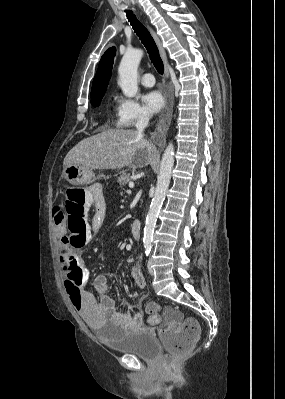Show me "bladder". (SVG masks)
Segmentation results:
<instances>
[{
  "label": "bladder",
  "instance_id": "obj_1",
  "mask_svg": "<svg viewBox=\"0 0 285 399\" xmlns=\"http://www.w3.org/2000/svg\"><path fill=\"white\" fill-rule=\"evenodd\" d=\"M91 328L98 334L107 335L98 325H91ZM104 343L116 352L133 355L144 360H155L159 356L158 341L147 330L132 329L121 337H106Z\"/></svg>",
  "mask_w": 285,
  "mask_h": 399
}]
</instances>
